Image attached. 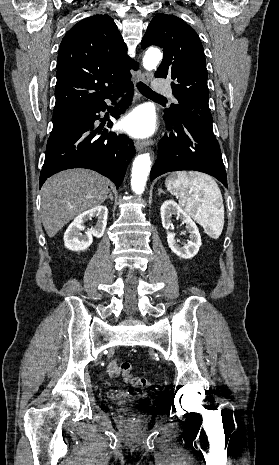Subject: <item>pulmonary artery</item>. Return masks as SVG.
<instances>
[{"label": "pulmonary artery", "mask_w": 279, "mask_h": 465, "mask_svg": "<svg viewBox=\"0 0 279 465\" xmlns=\"http://www.w3.org/2000/svg\"><path fill=\"white\" fill-rule=\"evenodd\" d=\"M155 91L159 94H164L171 96V89L168 85L162 83V82H157L154 87Z\"/></svg>", "instance_id": "e3ab8cb5"}]
</instances>
